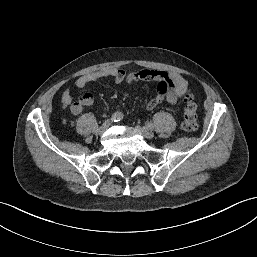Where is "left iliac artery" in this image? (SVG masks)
<instances>
[{
  "mask_svg": "<svg viewBox=\"0 0 257 257\" xmlns=\"http://www.w3.org/2000/svg\"><path fill=\"white\" fill-rule=\"evenodd\" d=\"M144 128L153 129L154 127L152 123L147 122Z\"/></svg>",
  "mask_w": 257,
  "mask_h": 257,
  "instance_id": "44dca946",
  "label": "left iliac artery"
}]
</instances>
